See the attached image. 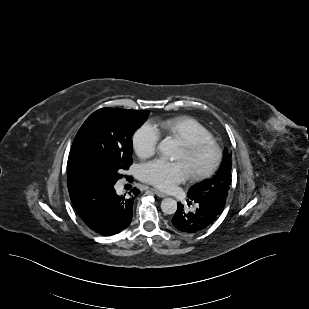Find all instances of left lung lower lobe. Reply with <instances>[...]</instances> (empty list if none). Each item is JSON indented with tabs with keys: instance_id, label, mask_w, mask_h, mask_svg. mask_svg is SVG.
Listing matches in <instances>:
<instances>
[{
	"instance_id": "1",
	"label": "left lung lower lobe",
	"mask_w": 309,
	"mask_h": 309,
	"mask_svg": "<svg viewBox=\"0 0 309 309\" xmlns=\"http://www.w3.org/2000/svg\"><path fill=\"white\" fill-rule=\"evenodd\" d=\"M189 199L196 203V210L187 212L183 205L178 203V209L172 218L173 226L186 235L197 234L209 228L224 209L223 205L213 202Z\"/></svg>"
}]
</instances>
